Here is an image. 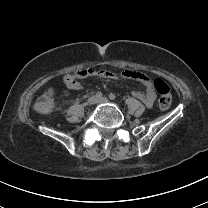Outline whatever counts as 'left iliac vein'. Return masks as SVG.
Returning <instances> with one entry per match:
<instances>
[{
  "label": "left iliac vein",
  "mask_w": 208,
  "mask_h": 208,
  "mask_svg": "<svg viewBox=\"0 0 208 208\" xmlns=\"http://www.w3.org/2000/svg\"><path fill=\"white\" fill-rule=\"evenodd\" d=\"M99 103H108L109 100L106 97H102L100 99L97 100Z\"/></svg>",
  "instance_id": "4c4485c4"
}]
</instances>
